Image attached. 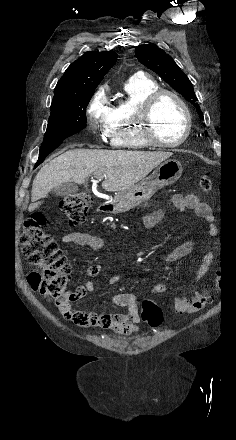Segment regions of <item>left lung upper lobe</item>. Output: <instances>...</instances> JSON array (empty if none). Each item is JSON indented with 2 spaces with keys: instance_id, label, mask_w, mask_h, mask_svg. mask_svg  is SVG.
<instances>
[{
  "instance_id": "1",
  "label": "left lung upper lobe",
  "mask_w": 236,
  "mask_h": 440,
  "mask_svg": "<svg viewBox=\"0 0 236 440\" xmlns=\"http://www.w3.org/2000/svg\"><path fill=\"white\" fill-rule=\"evenodd\" d=\"M135 55L140 63L156 72L172 88L194 104L197 97L192 83L165 51L154 45L145 44L135 48ZM195 106L199 111L200 117L203 118L199 105L195 103ZM205 134L207 135V131H205Z\"/></svg>"
}]
</instances>
